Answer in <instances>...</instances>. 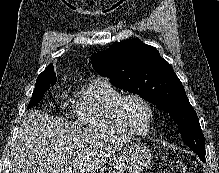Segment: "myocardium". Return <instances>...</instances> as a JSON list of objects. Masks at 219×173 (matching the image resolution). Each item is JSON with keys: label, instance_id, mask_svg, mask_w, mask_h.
<instances>
[{"label": "myocardium", "instance_id": "myocardium-1", "mask_svg": "<svg viewBox=\"0 0 219 173\" xmlns=\"http://www.w3.org/2000/svg\"><path fill=\"white\" fill-rule=\"evenodd\" d=\"M129 99L138 100L147 108L148 113H149V121H148V125H147L146 130H144V131L134 130V129L130 128L124 122L123 116H122V110H123L124 103ZM111 112H112L113 120H114L115 124L117 125V127L127 135L134 136V137H145V136H148L149 134H151V132L153 130V124H154V120H155L154 107H153L152 103L146 97H144L138 93L130 92V93L121 94L114 101L112 108H111Z\"/></svg>", "mask_w": 219, "mask_h": 173}]
</instances>
